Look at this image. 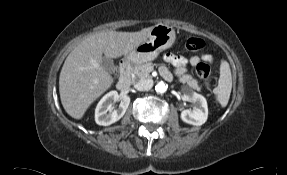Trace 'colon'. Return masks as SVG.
I'll return each instance as SVG.
<instances>
[{
    "mask_svg": "<svg viewBox=\"0 0 287 175\" xmlns=\"http://www.w3.org/2000/svg\"><path fill=\"white\" fill-rule=\"evenodd\" d=\"M203 47H204L203 40L197 37L189 38L185 44V48L190 52L200 51L203 49ZM196 72L198 76L204 81L205 85L209 88L212 83L210 65L205 61L199 62L196 65Z\"/></svg>",
    "mask_w": 287,
    "mask_h": 175,
    "instance_id": "colon-1",
    "label": "colon"
}]
</instances>
